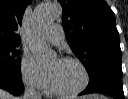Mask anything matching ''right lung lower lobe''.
<instances>
[{"label": "right lung lower lobe", "instance_id": "right-lung-lower-lobe-1", "mask_svg": "<svg viewBox=\"0 0 128 99\" xmlns=\"http://www.w3.org/2000/svg\"><path fill=\"white\" fill-rule=\"evenodd\" d=\"M23 83L20 80L0 75V88L7 90L11 94L18 96L23 92Z\"/></svg>", "mask_w": 128, "mask_h": 99}]
</instances>
